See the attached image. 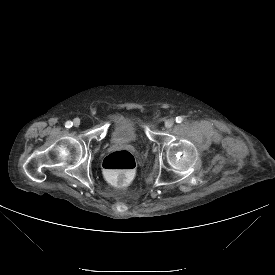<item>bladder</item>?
Instances as JSON below:
<instances>
[{"mask_svg":"<svg viewBox=\"0 0 275 275\" xmlns=\"http://www.w3.org/2000/svg\"><path fill=\"white\" fill-rule=\"evenodd\" d=\"M110 137L118 142H132L140 130L139 119L127 112H116L112 115L110 121Z\"/></svg>","mask_w":275,"mask_h":275,"instance_id":"1","label":"bladder"}]
</instances>
